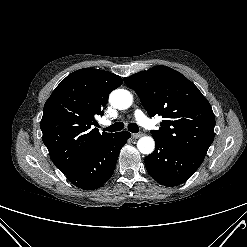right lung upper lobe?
<instances>
[{"label":"right lung upper lobe","instance_id":"obj_1","mask_svg":"<svg viewBox=\"0 0 247 247\" xmlns=\"http://www.w3.org/2000/svg\"><path fill=\"white\" fill-rule=\"evenodd\" d=\"M122 84L120 76L91 68L68 75L46 101L41 120L43 143L62 172L70 171L112 133H99L95 117L103 115L110 92Z\"/></svg>","mask_w":247,"mask_h":247}]
</instances>
